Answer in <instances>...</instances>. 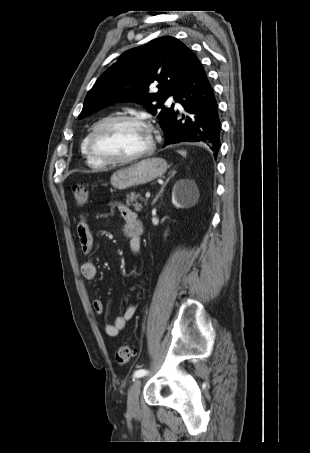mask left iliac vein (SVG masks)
Wrapping results in <instances>:
<instances>
[{
  "label": "left iliac vein",
  "mask_w": 310,
  "mask_h": 453,
  "mask_svg": "<svg viewBox=\"0 0 310 453\" xmlns=\"http://www.w3.org/2000/svg\"><path fill=\"white\" fill-rule=\"evenodd\" d=\"M141 390V379L137 378L134 380L129 392H128V412L132 415H137L140 410L139 395Z\"/></svg>",
  "instance_id": "left-iliac-vein-1"
}]
</instances>
